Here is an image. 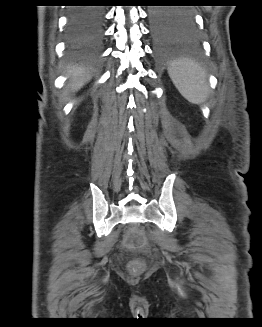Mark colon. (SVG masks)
<instances>
[{
    "label": "colon",
    "instance_id": "colon-1",
    "mask_svg": "<svg viewBox=\"0 0 262 327\" xmlns=\"http://www.w3.org/2000/svg\"><path fill=\"white\" fill-rule=\"evenodd\" d=\"M128 241L142 244L144 243V237L140 232H133L129 235ZM133 268L137 270L139 265H134Z\"/></svg>",
    "mask_w": 262,
    "mask_h": 327
}]
</instances>
